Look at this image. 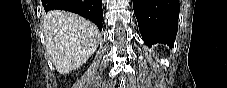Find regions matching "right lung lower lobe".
Masks as SVG:
<instances>
[{
	"label": "right lung lower lobe",
	"mask_w": 227,
	"mask_h": 88,
	"mask_svg": "<svg viewBox=\"0 0 227 88\" xmlns=\"http://www.w3.org/2000/svg\"><path fill=\"white\" fill-rule=\"evenodd\" d=\"M45 11L65 10L83 16L102 30V0H42Z\"/></svg>",
	"instance_id": "1"
}]
</instances>
